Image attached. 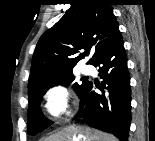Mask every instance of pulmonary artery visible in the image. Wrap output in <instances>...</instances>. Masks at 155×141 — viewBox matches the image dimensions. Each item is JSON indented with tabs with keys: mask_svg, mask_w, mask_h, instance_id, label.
Instances as JSON below:
<instances>
[{
	"mask_svg": "<svg viewBox=\"0 0 155 141\" xmlns=\"http://www.w3.org/2000/svg\"><path fill=\"white\" fill-rule=\"evenodd\" d=\"M81 71L83 74L85 75H89V74H92L93 73V68L89 65H84L82 68H81Z\"/></svg>",
	"mask_w": 155,
	"mask_h": 141,
	"instance_id": "1",
	"label": "pulmonary artery"
}]
</instances>
